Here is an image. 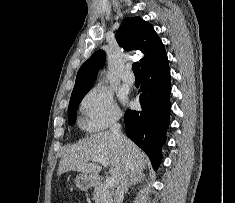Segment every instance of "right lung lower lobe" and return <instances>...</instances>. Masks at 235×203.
<instances>
[{
  "label": "right lung lower lobe",
  "instance_id": "right-lung-lower-lobe-1",
  "mask_svg": "<svg viewBox=\"0 0 235 203\" xmlns=\"http://www.w3.org/2000/svg\"><path fill=\"white\" fill-rule=\"evenodd\" d=\"M140 104L142 110H127L125 131L146 152L154 169L161 162L170 112V70L167 55L142 70Z\"/></svg>",
  "mask_w": 235,
  "mask_h": 203
}]
</instances>
